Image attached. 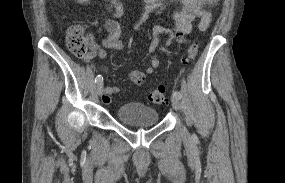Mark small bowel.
<instances>
[{"mask_svg":"<svg viewBox=\"0 0 285 183\" xmlns=\"http://www.w3.org/2000/svg\"><path fill=\"white\" fill-rule=\"evenodd\" d=\"M176 7L173 11L161 19L160 23L155 25L152 31L153 38L148 47L149 64L145 66L143 71L134 70L129 76L137 84L143 83L146 75L153 74L160 66V60L154 55V52L159 44L161 35L166 36L165 48H168L173 42L184 44L187 41V36L192 31V23L195 19H199V29L205 31L212 19V13L208 9L210 6L216 4L218 0H171ZM169 0H145L146 7L143 14V19L150 14L163 15L167 11ZM112 14L115 17L122 15V6L117 0H111ZM104 28L106 31V38L101 45H93L92 51L86 56L87 62L100 58L106 59L105 49L122 50L124 43L121 40V31L119 24L113 19L104 20ZM136 26L135 29H138ZM102 70L106 68L102 66ZM120 89L117 86L105 87V94L102 101L105 104L111 103V97L119 93Z\"/></svg>","mask_w":285,"mask_h":183,"instance_id":"1","label":"small bowel"}]
</instances>
